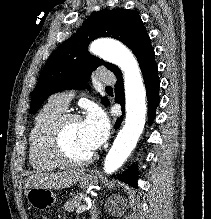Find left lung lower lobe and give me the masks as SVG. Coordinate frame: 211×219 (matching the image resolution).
Listing matches in <instances>:
<instances>
[{"instance_id": "1", "label": "left lung lower lobe", "mask_w": 211, "mask_h": 219, "mask_svg": "<svg viewBox=\"0 0 211 219\" xmlns=\"http://www.w3.org/2000/svg\"><path fill=\"white\" fill-rule=\"evenodd\" d=\"M135 55L138 59L146 87L148 109H149L148 123L150 124L155 118L156 107L158 106L160 101L159 98L160 81L157 76L158 68L155 62V53L151 46V41L149 36L139 47ZM114 74L117 77V82L115 85V95H116L115 101L121 104L122 110L124 111L125 98H124L122 73L119 70ZM121 122H122L121 118H118L116 120L115 129L119 128ZM136 174H137V168L134 165L128 171L118 176V178L134 187H137Z\"/></svg>"}]
</instances>
